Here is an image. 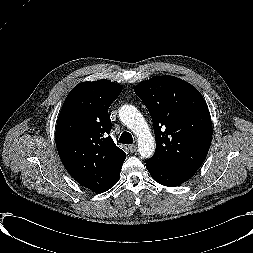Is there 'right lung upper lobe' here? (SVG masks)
<instances>
[{
	"instance_id": "right-lung-upper-lobe-1",
	"label": "right lung upper lobe",
	"mask_w": 253,
	"mask_h": 253,
	"mask_svg": "<svg viewBox=\"0 0 253 253\" xmlns=\"http://www.w3.org/2000/svg\"><path fill=\"white\" fill-rule=\"evenodd\" d=\"M122 86L108 80L83 82L66 97L55 142L68 173L82 186L102 193L119 180L126 153L111 136L108 108Z\"/></svg>"
}]
</instances>
